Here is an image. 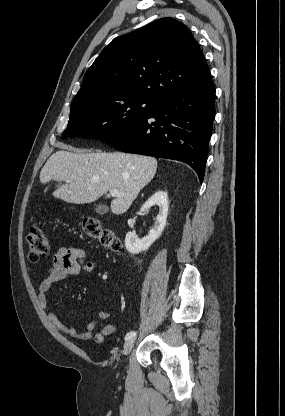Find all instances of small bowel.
Returning <instances> with one entry per match:
<instances>
[{"mask_svg": "<svg viewBox=\"0 0 285 416\" xmlns=\"http://www.w3.org/2000/svg\"><path fill=\"white\" fill-rule=\"evenodd\" d=\"M94 266V261L87 259L83 249L74 246L61 247L54 255L50 268L38 286L37 297L46 317L58 331L78 340H94L96 343L101 344L116 329L114 323L107 322L110 318V314L107 311H98L92 321L80 327H73L65 324L58 318L50 309L47 299V293L52 283L64 280L67 277L90 274L94 270ZM97 323L100 324V328L95 330Z\"/></svg>", "mask_w": 285, "mask_h": 416, "instance_id": "1", "label": "small bowel"}]
</instances>
